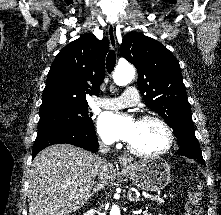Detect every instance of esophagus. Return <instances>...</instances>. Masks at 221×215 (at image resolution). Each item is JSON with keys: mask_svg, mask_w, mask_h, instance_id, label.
<instances>
[{"mask_svg": "<svg viewBox=\"0 0 221 215\" xmlns=\"http://www.w3.org/2000/svg\"><path fill=\"white\" fill-rule=\"evenodd\" d=\"M107 34L110 42V46L113 50L117 48V38L115 34V28L113 24H109L108 29H107ZM132 162V158L129 155L123 154L119 156V164L121 166H129Z\"/></svg>", "mask_w": 221, "mask_h": 215, "instance_id": "esophagus-1", "label": "esophagus"}]
</instances>
